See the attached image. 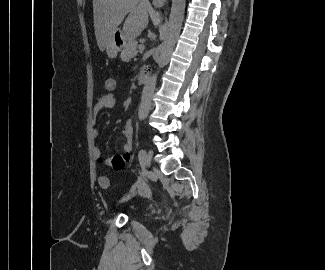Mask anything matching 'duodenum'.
I'll return each instance as SVG.
<instances>
[{
	"mask_svg": "<svg viewBox=\"0 0 325 270\" xmlns=\"http://www.w3.org/2000/svg\"><path fill=\"white\" fill-rule=\"evenodd\" d=\"M139 82L145 85L148 82V76L145 74H141L139 77Z\"/></svg>",
	"mask_w": 325,
	"mask_h": 270,
	"instance_id": "410a0bca",
	"label": "duodenum"
}]
</instances>
